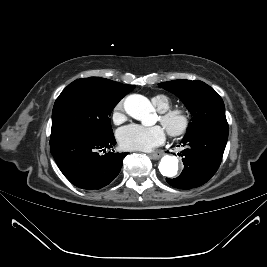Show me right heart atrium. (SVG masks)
<instances>
[{
    "label": "right heart atrium",
    "instance_id": "d8ad5b80",
    "mask_svg": "<svg viewBox=\"0 0 267 267\" xmlns=\"http://www.w3.org/2000/svg\"><path fill=\"white\" fill-rule=\"evenodd\" d=\"M112 120L114 123L119 124L125 120V113L123 102H119L113 109Z\"/></svg>",
    "mask_w": 267,
    "mask_h": 267
}]
</instances>
